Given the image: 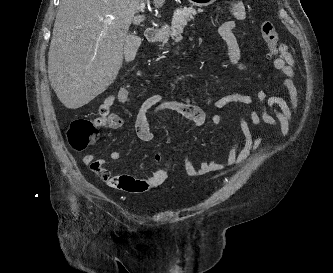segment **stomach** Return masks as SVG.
Returning a JSON list of instances; mask_svg holds the SVG:
<instances>
[{
    "mask_svg": "<svg viewBox=\"0 0 333 273\" xmlns=\"http://www.w3.org/2000/svg\"><path fill=\"white\" fill-rule=\"evenodd\" d=\"M188 1L194 6L205 7L214 3L216 0H188ZM168 39L169 37L167 32H164L160 36V41L163 43V45L168 42Z\"/></svg>",
    "mask_w": 333,
    "mask_h": 273,
    "instance_id": "stomach-1",
    "label": "stomach"
}]
</instances>
